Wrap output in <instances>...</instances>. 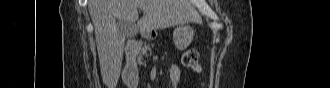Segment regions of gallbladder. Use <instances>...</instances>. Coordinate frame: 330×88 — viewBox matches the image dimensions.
<instances>
[{"label":"gallbladder","mask_w":330,"mask_h":88,"mask_svg":"<svg viewBox=\"0 0 330 88\" xmlns=\"http://www.w3.org/2000/svg\"><path fill=\"white\" fill-rule=\"evenodd\" d=\"M117 25L119 29L122 31L123 35H125L126 38H132L136 35L137 30L135 24L132 23H126L123 21H118Z\"/></svg>","instance_id":"gallbladder-1"}]
</instances>
